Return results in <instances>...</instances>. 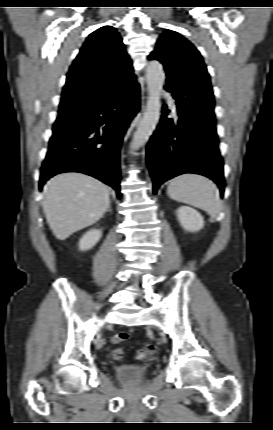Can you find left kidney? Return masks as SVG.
I'll list each match as a JSON object with an SVG mask.
<instances>
[{"label": "left kidney", "instance_id": "obj_1", "mask_svg": "<svg viewBox=\"0 0 273 430\" xmlns=\"http://www.w3.org/2000/svg\"><path fill=\"white\" fill-rule=\"evenodd\" d=\"M177 217L181 226L188 232H197L204 226L202 215L189 206L179 207Z\"/></svg>", "mask_w": 273, "mask_h": 430}]
</instances>
